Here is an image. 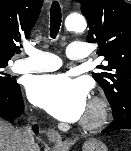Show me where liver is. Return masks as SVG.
<instances>
[{
    "mask_svg": "<svg viewBox=\"0 0 131 151\" xmlns=\"http://www.w3.org/2000/svg\"><path fill=\"white\" fill-rule=\"evenodd\" d=\"M20 149L17 130L9 122L0 120V151H21ZM37 149L39 151V146Z\"/></svg>",
    "mask_w": 131,
    "mask_h": 151,
    "instance_id": "liver-1",
    "label": "liver"
}]
</instances>
